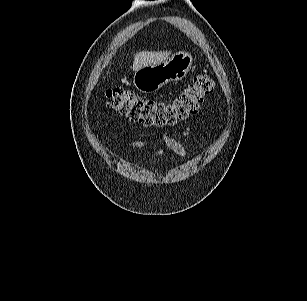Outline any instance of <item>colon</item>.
Masks as SVG:
<instances>
[{"mask_svg": "<svg viewBox=\"0 0 307 301\" xmlns=\"http://www.w3.org/2000/svg\"><path fill=\"white\" fill-rule=\"evenodd\" d=\"M214 86V79L203 73L168 101L142 98L130 91L111 89L106 95L107 105L142 125L168 127L194 116L204 97L213 92Z\"/></svg>", "mask_w": 307, "mask_h": 301, "instance_id": "5ec220e1", "label": "colon"}]
</instances>
